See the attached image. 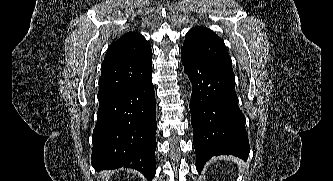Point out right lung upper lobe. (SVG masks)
I'll return each mask as SVG.
<instances>
[{
  "mask_svg": "<svg viewBox=\"0 0 333 181\" xmlns=\"http://www.w3.org/2000/svg\"><path fill=\"white\" fill-rule=\"evenodd\" d=\"M151 75V47L142 35L126 33L107 50L101 65L98 100H105Z\"/></svg>",
  "mask_w": 333,
  "mask_h": 181,
  "instance_id": "right-lung-upper-lobe-1",
  "label": "right lung upper lobe"
}]
</instances>
